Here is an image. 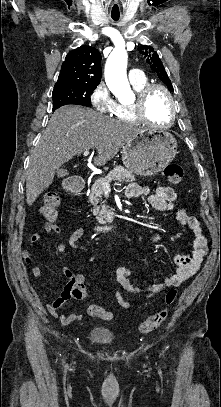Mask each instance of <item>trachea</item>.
<instances>
[{"label":"trachea","mask_w":221,"mask_h":407,"mask_svg":"<svg viewBox=\"0 0 221 407\" xmlns=\"http://www.w3.org/2000/svg\"><path fill=\"white\" fill-rule=\"evenodd\" d=\"M119 15H116V16H113V15H111V18L114 20V21H117V20H119Z\"/></svg>","instance_id":"3493384b"}]
</instances>
